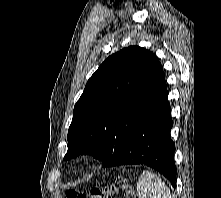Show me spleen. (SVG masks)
Returning a JSON list of instances; mask_svg holds the SVG:
<instances>
[{
	"instance_id": "3e777b00",
	"label": "spleen",
	"mask_w": 221,
	"mask_h": 198,
	"mask_svg": "<svg viewBox=\"0 0 221 198\" xmlns=\"http://www.w3.org/2000/svg\"><path fill=\"white\" fill-rule=\"evenodd\" d=\"M137 192L140 198H172L170 189L155 174L143 171L137 180Z\"/></svg>"
}]
</instances>
